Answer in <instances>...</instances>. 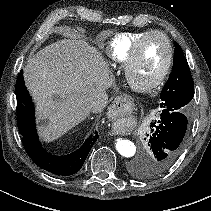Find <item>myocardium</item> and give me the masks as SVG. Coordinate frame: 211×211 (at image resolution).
<instances>
[{
	"label": "myocardium",
	"mask_w": 211,
	"mask_h": 211,
	"mask_svg": "<svg viewBox=\"0 0 211 211\" xmlns=\"http://www.w3.org/2000/svg\"><path fill=\"white\" fill-rule=\"evenodd\" d=\"M153 35H159L165 40L166 45H167V59H166V62L164 64L162 70L158 74V76L150 84L143 85V86L138 85L133 81L132 72H133L135 65L138 62V59L140 56V51H141V48H142L144 42L147 40V38H149L150 36H153ZM172 62H173V47H172V43H171L170 39L168 38V36L165 33L158 31V30L148 31L143 36H141L133 46L130 57L128 58V60L125 64L126 80H127L128 84L130 85V87L132 89H134L135 91L140 92V93H152L159 86H161L162 83L165 81L166 77L168 76V74L170 72Z\"/></svg>",
	"instance_id": "myocardium-1"
}]
</instances>
